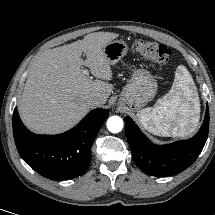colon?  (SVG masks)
Listing matches in <instances>:
<instances>
[{
    "label": "colon",
    "instance_id": "obj_1",
    "mask_svg": "<svg viewBox=\"0 0 215 215\" xmlns=\"http://www.w3.org/2000/svg\"><path fill=\"white\" fill-rule=\"evenodd\" d=\"M133 49L140 56L158 64H166L171 56V51L165 45L143 39L136 40Z\"/></svg>",
    "mask_w": 215,
    "mask_h": 215
}]
</instances>
